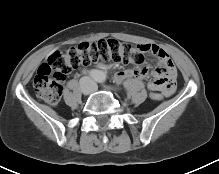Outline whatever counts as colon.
Instances as JSON below:
<instances>
[{"instance_id":"obj_1","label":"colon","mask_w":219,"mask_h":174,"mask_svg":"<svg viewBox=\"0 0 219 174\" xmlns=\"http://www.w3.org/2000/svg\"><path fill=\"white\" fill-rule=\"evenodd\" d=\"M99 61L140 66L145 62V55L137 47L115 39L84 42L63 51H56L39 67L34 78L33 86L37 96L50 105H56L67 75L80 66ZM150 97L156 102L163 100V94L157 91L151 92Z\"/></svg>"}]
</instances>
